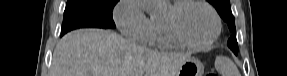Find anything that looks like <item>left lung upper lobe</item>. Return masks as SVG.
<instances>
[{"instance_id": "left-lung-upper-lobe-1", "label": "left lung upper lobe", "mask_w": 287, "mask_h": 76, "mask_svg": "<svg viewBox=\"0 0 287 76\" xmlns=\"http://www.w3.org/2000/svg\"><path fill=\"white\" fill-rule=\"evenodd\" d=\"M217 10L219 15L224 21L227 22L229 29L232 32V36L228 40L229 48L235 53H238V44L236 39L235 19L232 15L230 0H207Z\"/></svg>"}]
</instances>
